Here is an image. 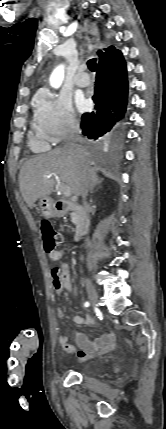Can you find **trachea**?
<instances>
[{
    "label": "trachea",
    "mask_w": 166,
    "mask_h": 429,
    "mask_svg": "<svg viewBox=\"0 0 166 429\" xmlns=\"http://www.w3.org/2000/svg\"><path fill=\"white\" fill-rule=\"evenodd\" d=\"M87 66L90 71L94 72L96 70V59L95 58L89 59L87 62Z\"/></svg>",
    "instance_id": "3493384b"
}]
</instances>
